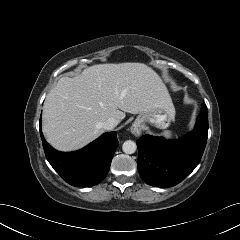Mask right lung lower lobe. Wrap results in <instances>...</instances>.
I'll list each match as a JSON object with an SVG mask.
<instances>
[{
	"mask_svg": "<svg viewBox=\"0 0 240 240\" xmlns=\"http://www.w3.org/2000/svg\"><path fill=\"white\" fill-rule=\"evenodd\" d=\"M40 135L50 165L67 183L76 187L99 184L106 177L119 144L116 132H108L79 151L64 153L56 151L45 141L41 127Z\"/></svg>",
	"mask_w": 240,
	"mask_h": 240,
	"instance_id": "right-lung-lower-lobe-1",
	"label": "right lung lower lobe"
}]
</instances>
